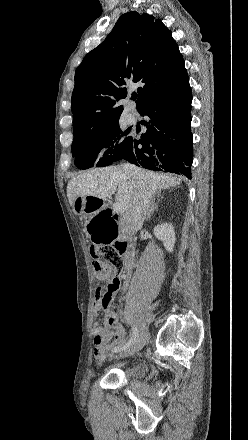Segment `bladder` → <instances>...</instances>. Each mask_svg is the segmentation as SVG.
Instances as JSON below:
<instances>
[{"instance_id":"31cf9c89","label":"bladder","mask_w":248,"mask_h":440,"mask_svg":"<svg viewBox=\"0 0 248 440\" xmlns=\"http://www.w3.org/2000/svg\"><path fill=\"white\" fill-rule=\"evenodd\" d=\"M145 374L146 367L142 364H132L124 370V378L127 380H138Z\"/></svg>"}]
</instances>
